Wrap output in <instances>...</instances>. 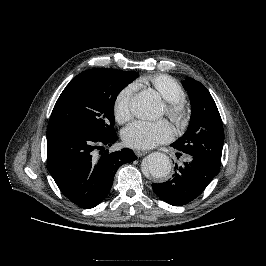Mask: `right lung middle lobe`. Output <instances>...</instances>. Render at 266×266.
<instances>
[{"instance_id":"dd1d6c3e","label":"right lung middle lobe","mask_w":266,"mask_h":266,"mask_svg":"<svg viewBox=\"0 0 266 266\" xmlns=\"http://www.w3.org/2000/svg\"><path fill=\"white\" fill-rule=\"evenodd\" d=\"M138 75L114 69H90L78 74L58 98L48 126H68L96 135L113 132L116 97Z\"/></svg>"}]
</instances>
